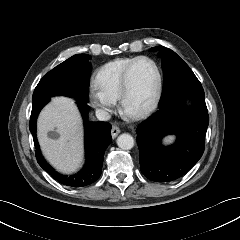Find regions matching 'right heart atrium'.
Listing matches in <instances>:
<instances>
[{
  "mask_svg": "<svg viewBox=\"0 0 240 240\" xmlns=\"http://www.w3.org/2000/svg\"><path fill=\"white\" fill-rule=\"evenodd\" d=\"M93 105L103 114H108L115 105V100L107 96L96 84L89 89Z\"/></svg>",
  "mask_w": 240,
  "mask_h": 240,
  "instance_id": "d8ad5b80",
  "label": "right heart atrium"
}]
</instances>
